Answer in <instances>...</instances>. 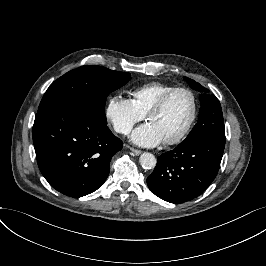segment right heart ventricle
<instances>
[{
  "label": "right heart ventricle",
  "mask_w": 266,
  "mask_h": 266,
  "mask_svg": "<svg viewBox=\"0 0 266 266\" xmlns=\"http://www.w3.org/2000/svg\"><path fill=\"white\" fill-rule=\"evenodd\" d=\"M173 87L175 86L169 83L149 82L135 87L130 93V100L137 111L144 116L158 98Z\"/></svg>",
  "instance_id": "1"
}]
</instances>
